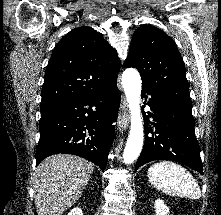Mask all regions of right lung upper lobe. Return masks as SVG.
<instances>
[{"mask_svg": "<svg viewBox=\"0 0 221 215\" xmlns=\"http://www.w3.org/2000/svg\"><path fill=\"white\" fill-rule=\"evenodd\" d=\"M119 68L116 50L93 28L70 31L49 60L40 110L60 107L116 81Z\"/></svg>", "mask_w": 221, "mask_h": 215, "instance_id": "obj_1", "label": "right lung upper lobe"}]
</instances>
